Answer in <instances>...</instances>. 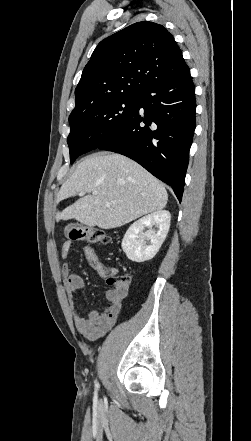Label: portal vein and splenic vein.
<instances>
[{
	"label": "portal vein and splenic vein",
	"instance_id": "18ae733b",
	"mask_svg": "<svg viewBox=\"0 0 251 441\" xmlns=\"http://www.w3.org/2000/svg\"><path fill=\"white\" fill-rule=\"evenodd\" d=\"M97 193L96 192H93V195H96ZM85 195V192H79V196H84ZM107 205H110V203H107Z\"/></svg>",
	"mask_w": 251,
	"mask_h": 441
}]
</instances>
